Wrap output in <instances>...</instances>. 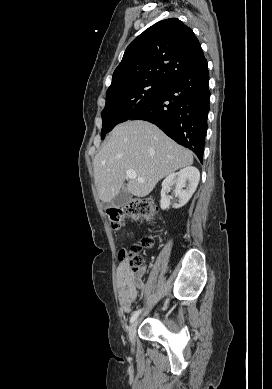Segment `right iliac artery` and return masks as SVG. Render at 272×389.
Returning a JSON list of instances; mask_svg holds the SVG:
<instances>
[{
    "label": "right iliac artery",
    "mask_w": 272,
    "mask_h": 389,
    "mask_svg": "<svg viewBox=\"0 0 272 389\" xmlns=\"http://www.w3.org/2000/svg\"><path fill=\"white\" fill-rule=\"evenodd\" d=\"M140 313H141V309L135 311V312L133 313L131 319H130V323H133V322L137 319V317L139 316Z\"/></svg>",
    "instance_id": "right-iliac-artery-1"
}]
</instances>
